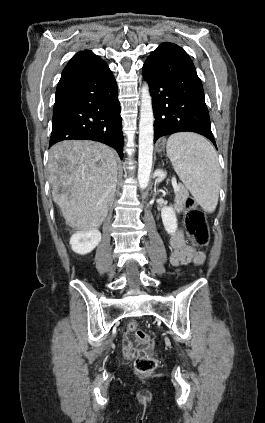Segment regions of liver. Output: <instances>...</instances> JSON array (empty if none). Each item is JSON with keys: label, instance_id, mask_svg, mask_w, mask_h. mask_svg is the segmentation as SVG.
Masks as SVG:
<instances>
[{"label": "liver", "instance_id": "6515ba94", "mask_svg": "<svg viewBox=\"0 0 265 423\" xmlns=\"http://www.w3.org/2000/svg\"><path fill=\"white\" fill-rule=\"evenodd\" d=\"M117 170L113 150L102 143L66 140L51 147L52 196L68 226L89 231L104 222L114 200Z\"/></svg>", "mask_w": 265, "mask_h": 423}]
</instances>
